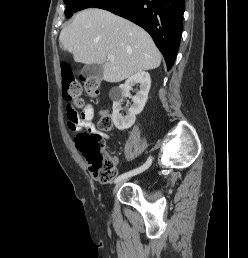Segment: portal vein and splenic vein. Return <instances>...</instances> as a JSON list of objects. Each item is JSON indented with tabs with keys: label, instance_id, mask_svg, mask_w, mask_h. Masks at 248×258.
Listing matches in <instances>:
<instances>
[{
	"label": "portal vein and splenic vein",
	"instance_id": "obj_1",
	"mask_svg": "<svg viewBox=\"0 0 248 258\" xmlns=\"http://www.w3.org/2000/svg\"><path fill=\"white\" fill-rule=\"evenodd\" d=\"M107 57H108V60H109L110 62H114V61H115L114 55H108Z\"/></svg>",
	"mask_w": 248,
	"mask_h": 258
}]
</instances>
